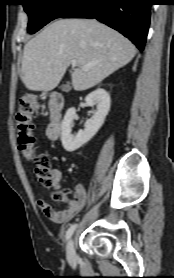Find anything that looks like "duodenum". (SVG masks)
<instances>
[{
	"label": "duodenum",
	"mask_w": 174,
	"mask_h": 278,
	"mask_svg": "<svg viewBox=\"0 0 174 278\" xmlns=\"http://www.w3.org/2000/svg\"><path fill=\"white\" fill-rule=\"evenodd\" d=\"M49 108V125L47 135L55 139L61 132L62 116L64 108V97L58 92H51L46 95Z\"/></svg>",
	"instance_id": "1"
}]
</instances>
